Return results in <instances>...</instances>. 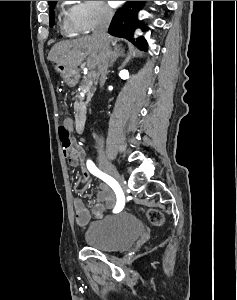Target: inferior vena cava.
I'll return each instance as SVG.
<instances>
[{
  "label": "inferior vena cava",
  "mask_w": 237,
  "mask_h": 300,
  "mask_svg": "<svg viewBox=\"0 0 237 300\" xmlns=\"http://www.w3.org/2000/svg\"><path fill=\"white\" fill-rule=\"evenodd\" d=\"M113 17V11L108 9L106 5H101V15L100 19L97 23V27L95 31H93L92 37L98 39L101 47V53H99L101 57V65L98 67L100 77V87H103V83L105 81V77L107 75V67H108V55H109V45H108V29L111 23V19Z\"/></svg>",
  "instance_id": "obj_1"
}]
</instances>
